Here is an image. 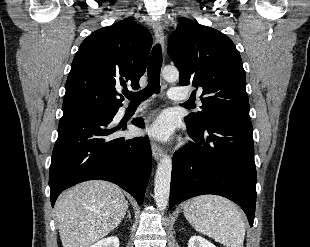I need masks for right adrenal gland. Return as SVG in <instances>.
<instances>
[{"mask_svg":"<svg viewBox=\"0 0 310 247\" xmlns=\"http://www.w3.org/2000/svg\"><path fill=\"white\" fill-rule=\"evenodd\" d=\"M127 218H129V220H131V213H130V211H129V209L127 208Z\"/></svg>","mask_w":310,"mask_h":247,"instance_id":"right-adrenal-gland-1","label":"right adrenal gland"}]
</instances>
